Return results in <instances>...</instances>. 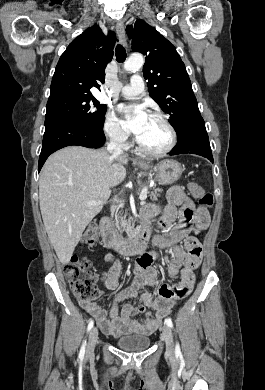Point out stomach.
<instances>
[{"instance_id":"1","label":"stomach","mask_w":265,"mask_h":390,"mask_svg":"<svg viewBox=\"0 0 265 390\" xmlns=\"http://www.w3.org/2000/svg\"><path fill=\"white\" fill-rule=\"evenodd\" d=\"M138 166L144 170H151L155 174L159 184H172L182 174V166L175 160H164L157 165L152 166L149 160L138 163Z\"/></svg>"}]
</instances>
